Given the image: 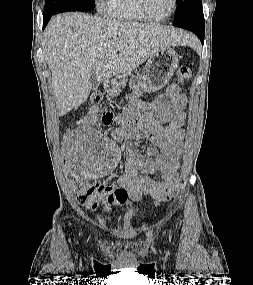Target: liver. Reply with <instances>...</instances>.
<instances>
[{"instance_id":"obj_1","label":"liver","mask_w":253,"mask_h":285,"mask_svg":"<svg viewBox=\"0 0 253 285\" xmlns=\"http://www.w3.org/2000/svg\"><path fill=\"white\" fill-rule=\"evenodd\" d=\"M190 41L188 34L160 25L80 12L54 16L45 31V58L52 72L58 115L67 114L87 100L92 88L91 72L102 82L133 70L162 48Z\"/></svg>"}]
</instances>
